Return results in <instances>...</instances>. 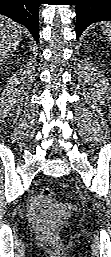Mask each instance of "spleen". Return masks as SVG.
Segmentation results:
<instances>
[{"label":"spleen","instance_id":"3e777b00","mask_svg":"<svg viewBox=\"0 0 111 257\" xmlns=\"http://www.w3.org/2000/svg\"><path fill=\"white\" fill-rule=\"evenodd\" d=\"M102 30L106 35L108 42L111 43V23L110 22L105 23L104 26L102 27Z\"/></svg>","mask_w":111,"mask_h":257}]
</instances>
